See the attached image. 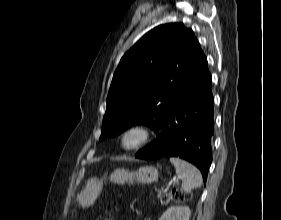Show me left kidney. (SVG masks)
I'll return each mask as SVG.
<instances>
[{"mask_svg":"<svg viewBox=\"0 0 281 220\" xmlns=\"http://www.w3.org/2000/svg\"><path fill=\"white\" fill-rule=\"evenodd\" d=\"M191 211L187 206H171L159 220H189Z\"/></svg>","mask_w":281,"mask_h":220,"instance_id":"5707ae66","label":"left kidney"}]
</instances>
